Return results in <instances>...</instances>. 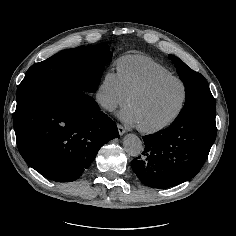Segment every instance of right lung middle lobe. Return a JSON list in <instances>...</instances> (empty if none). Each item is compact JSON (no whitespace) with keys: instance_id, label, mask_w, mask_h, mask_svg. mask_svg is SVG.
<instances>
[{"instance_id":"obj_1","label":"right lung middle lobe","mask_w":236,"mask_h":236,"mask_svg":"<svg viewBox=\"0 0 236 236\" xmlns=\"http://www.w3.org/2000/svg\"><path fill=\"white\" fill-rule=\"evenodd\" d=\"M111 56L107 44H97L64 50L32 65L18 86L17 105L38 95L69 89L93 93Z\"/></svg>"}]
</instances>
